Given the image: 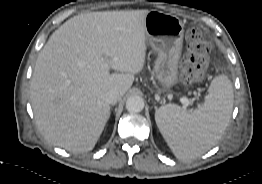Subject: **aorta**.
Masks as SVG:
<instances>
[{
    "label": "aorta",
    "instance_id": "1",
    "mask_svg": "<svg viewBox=\"0 0 262 184\" xmlns=\"http://www.w3.org/2000/svg\"><path fill=\"white\" fill-rule=\"evenodd\" d=\"M144 108V100L138 95L130 96L126 101V109L129 112H140Z\"/></svg>",
    "mask_w": 262,
    "mask_h": 184
}]
</instances>
